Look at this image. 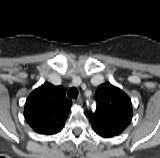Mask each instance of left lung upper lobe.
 <instances>
[{
    "label": "left lung upper lobe",
    "instance_id": "1",
    "mask_svg": "<svg viewBox=\"0 0 160 158\" xmlns=\"http://www.w3.org/2000/svg\"><path fill=\"white\" fill-rule=\"evenodd\" d=\"M97 109L89 113L93 127L113 136L121 134L132 120V104L129 97L110 83L101 84L95 93Z\"/></svg>",
    "mask_w": 160,
    "mask_h": 158
}]
</instances>
